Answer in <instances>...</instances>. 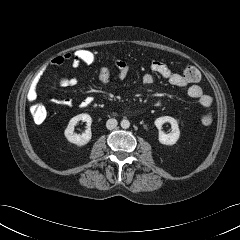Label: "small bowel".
<instances>
[{
    "mask_svg": "<svg viewBox=\"0 0 240 240\" xmlns=\"http://www.w3.org/2000/svg\"><path fill=\"white\" fill-rule=\"evenodd\" d=\"M65 63H70V58L67 54H61L54 57L51 61V65L59 66ZM116 67L118 68V77L120 79H126L129 74V66L126 62L122 60L116 61ZM151 72L144 73L142 75V82L144 84H151L154 81V74L159 75L166 79L170 85L175 87H187V96L189 99L196 100L203 107H210L213 103V98L205 94L203 89L198 84L188 85V81L185 79L184 75L173 72L165 63L159 60H153L150 63ZM98 80L103 86H108L111 81V74L109 69L103 67L100 69L98 74ZM39 79H35L30 85L27 92V99L29 101H34L37 98V87H38ZM61 87H73L77 84V80L75 78L70 77H62L59 81ZM92 99L87 98L83 101L80 106L87 107L91 103ZM51 102L56 105H62L66 107H71L73 105L72 99L69 98H54L51 99ZM157 105H160L158 103Z\"/></svg>",
    "mask_w": 240,
    "mask_h": 240,
    "instance_id": "obj_1",
    "label": "small bowel"
}]
</instances>
